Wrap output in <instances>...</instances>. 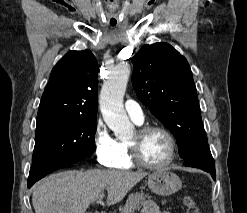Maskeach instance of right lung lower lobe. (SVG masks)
I'll use <instances>...</instances> for the list:
<instances>
[{"mask_svg": "<svg viewBox=\"0 0 247 213\" xmlns=\"http://www.w3.org/2000/svg\"><path fill=\"white\" fill-rule=\"evenodd\" d=\"M53 170L54 169H51V171H53ZM37 180H39V179H31V178H28V187L30 188Z\"/></svg>", "mask_w": 247, "mask_h": 213, "instance_id": "right-lung-lower-lobe-1", "label": "right lung lower lobe"}]
</instances>
